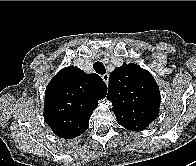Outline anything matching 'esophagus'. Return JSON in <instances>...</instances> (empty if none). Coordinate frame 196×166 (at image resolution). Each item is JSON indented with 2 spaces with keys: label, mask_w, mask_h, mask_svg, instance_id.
<instances>
[{
  "label": "esophagus",
  "mask_w": 196,
  "mask_h": 166,
  "mask_svg": "<svg viewBox=\"0 0 196 166\" xmlns=\"http://www.w3.org/2000/svg\"><path fill=\"white\" fill-rule=\"evenodd\" d=\"M102 79L103 81L108 84L109 83V74L105 73L104 75H102Z\"/></svg>",
  "instance_id": "esophagus-1"
}]
</instances>
